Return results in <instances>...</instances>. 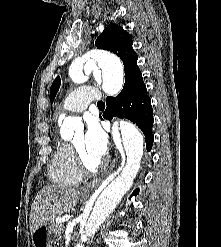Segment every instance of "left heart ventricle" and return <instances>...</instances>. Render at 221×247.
<instances>
[{"label": "left heart ventricle", "instance_id": "b2bd125f", "mask_svg": "<svg viewBox=\"0 0 221 247\" xmlns=\"http://www.w3.org/2000/svg\"><path fill=\"white\" fill-rule=\"evenodd\" d=\"M73 144L76 146V148L79 150V152L83 155V157L85 158V160L89 163V164H95L99 159L91 156L85 149L84 146V135L83 134H78L74 140H73Z\"/></svg>", "mask_w": 221, "mask_h": 247}]
</instances>
